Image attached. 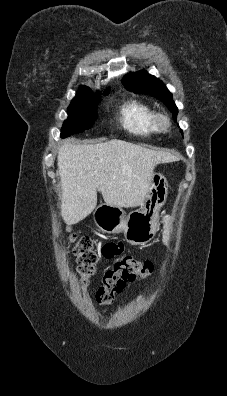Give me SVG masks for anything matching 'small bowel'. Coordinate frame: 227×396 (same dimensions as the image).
Returning <instances> with one entry per match:
<instances>
[{
    "label": "small bowel",
    "mask_w": 227,
    "mask_h": 396,
    "mask_svg": "<svg viewBox=\"0 0 227 396\" xmlns=\"http://www.w3.org/2000/svg\"><path fill=\"white\" fill-rule=\"evenodd\" d=\"M170 218L166 217L165 218V227H166V234L164 235V244L169 246L170 245ZM123 250L122 244L119 243H107L102 247L101 253L104 257L106 258H112L116 255H119Z\"/></svg>",
    "instance_id": "small-bowel-1"
}]
</instances>
